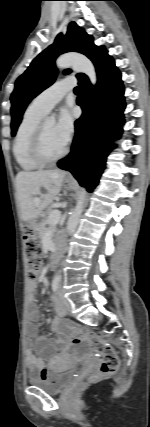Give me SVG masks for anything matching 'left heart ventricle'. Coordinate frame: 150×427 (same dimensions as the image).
Listing matches in <instances>:
<instances>
[{"mask_svg":"<svg viewBox=\"0 0 150 427\" xmlns=\"http://www.w3.org/2000/svg\"><path fill=\"white\" fill-rule=\"evenodd\" d=\"M43 148L48 157L57 156L65 148L56 136L54 124H44Z\"/></svg>","mask_w":150,"mask_h":427,"instance_id":"b2bd125f","label":"left heart ventricle"}]
</instances>
